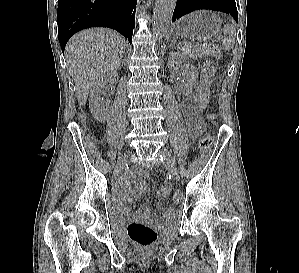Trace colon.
Instances as JSON below:
<instances>
[{"instance_id": "5ec220e1", "label": "colon", "mask_w": 299, "mask_h": 273, "mask_svg": "<svg viewBox=\"0 0 299 273\" xmlns=\"http://www.w3.org/2000/svg\"><path fill=\"white\" fill-rule=\"evenodd\" d=\"M203 55H213L217 52L216 46L212 44H203L199 49ZM214 74V63L208 61L202 71L200 78V85L197 89L195 99V110L197 114L207 106L209 101V92L212 77ZM213 145V138L210 135H204L199 141V148L202 153L207 152ZM183 200V192L176 190L173 194V201L175 204L181 203ZM127 233L130 239L142 247H149L153 245L158 237L157 231L150 225L143 222H132L127 226Z\"/></svg>"}]
</instances>
